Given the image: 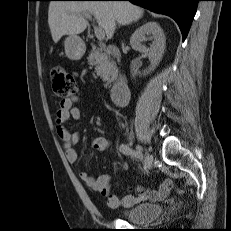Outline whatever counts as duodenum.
Returning a JSON list of instances; mask_svg holds the SVG:
<instances>
[{
  "mask_svg": "<svg viewBox=\"0 0 231 231\" xmlns=\"http://www.w3.org/2000/svg\"><path fill=\"white\" fill-rule=\"evenodd\" d=\"M106 50L110 55L114 57L119 56V51L117 47L114 45H109ZM129 91L130 89H129L127 78L124 76L118 77L111 91L112 102L118 107L125 105L129 97Z\"/></svg>",
  "mask_w": 231,
  "mask_h": 231,
  "instance_id": "duodenum-1",
  "label": "duodenum"
}]
</instances>
